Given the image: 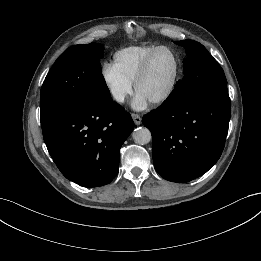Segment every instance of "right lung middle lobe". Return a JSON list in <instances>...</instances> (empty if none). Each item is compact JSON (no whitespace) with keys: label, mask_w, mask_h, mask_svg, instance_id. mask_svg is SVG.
<instances>
[{"label":"right lung middle lobe","mask_w":261,"mask_h":261,"mask_svg":"<svg viewBox=\"0 0 261 261\" xmlns=\"http://www.w3.org/2000/svg\"><path fill=\"white\" fill-rule=\"evenodd\" d=\"M103 55L100 44L90 43L72 46L59 56L41 88L42 126L70 109L111 101L101 71Z\"/></svg>","instance_id":"obj_1"}]
</instances>
